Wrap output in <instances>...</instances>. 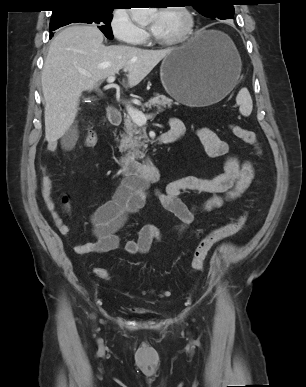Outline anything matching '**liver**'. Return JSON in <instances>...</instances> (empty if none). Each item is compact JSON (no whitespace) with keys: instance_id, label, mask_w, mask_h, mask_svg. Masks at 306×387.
I'll list each match as a JSON object with an SVG mask.
<instances>
[{"instance_id":"6515ba94","label":"liver","mask_w":306,"mask_h":387,"mask_svg":"<svg viewBox=\"0 0 306 387\" xmlns=\"http://www.w3.org/2000/svg\"><path fill=\"white\" fill-rule=\"evenodd\" d=\"M174 48L146 50L127 45L103 44L95 26L74 25L51 41L41 84L45 99V138L55 144L74 122L83 91H92L121 69L128 86L138 85Z\"/></svg>"}]
</instances>
